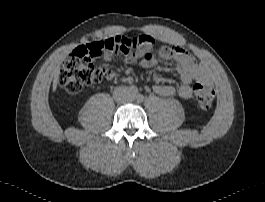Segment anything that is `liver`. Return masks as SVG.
<instances>
[{
  "label": "liver",
  "mask_w": 265,
  "mask_h": 202,
  "mask_svg": "<svg viewBox=\"0 0 265 202\" xmlns=\"http://www.w3.org/2000/svg\"><path fill=\"white\" fill-rule=\"evenodd\" d=\"M59 74H60V66H57V68L54 71V79H53V85H52L53 92L56 91L57 84L59 81Z\"/></svg>",
  "instance_id": "obj_1"
}]
</instances>
